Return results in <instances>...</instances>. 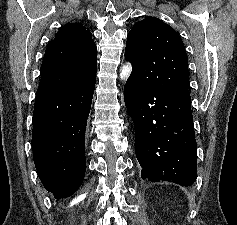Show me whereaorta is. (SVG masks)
I'll use <instances>...</instances> for the list:
<instances>
[{
	"mask_svg": "<svg viewBox=\"0 0 237 225\" xmlns=\"http://www.w3.org/2000/svg\"><path fill=\"white\" fill-rule=\"evenodd\" d=\"M131 65L129 63H127L126 65H124L120 71V78L121 80H127L128 77L130 76L131 74Z\"/></svg>",
	"mask_w": 237,
	"mask_h": 225,
	"instance_id": "aorta-1",
	"label": "aorta"
}]
</instances>
